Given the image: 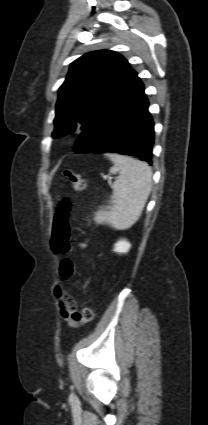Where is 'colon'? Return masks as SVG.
Returning a JSON list of instances; mask_svg holds the SVG:
<instances>
[{
    "mask_svg": "<svg viewBox=\"0 0 208 425\" xmlns=\"http://www.w3.org/2000/svg\"><path fill=\"white\" fill-rule=\"evenodd\" d=\"M72 188L82 192L86 188L84 179L71 170L65 172ZM73 212V202L70 199L60 201L53 220L51 246L53 251L59 254H67L73 250L70 244V216ZM77 273L75 263L70 259H64L60 264L59 275L63 281L70 280ZM55 296L65 303L69 318L75 323L87 324L93 319V311L89 306H84L81 310L76 307L75 299L67 293L60 283L54 287Z\"/></svg>",
    "mask_w": 208,
    "mask_h": 425,
    "instance_id": "1",
    "label": "colon"
}]
</instances>
